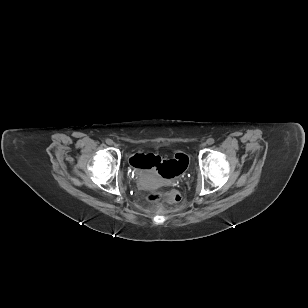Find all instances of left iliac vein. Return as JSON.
<instances>
[{"label":"left iliac vein","instance_id":"1","mask_svg":"<svg viewBox=\"0 0 308 308\" xmlns=\"http://www.w3.org/2000/svg\"><path fill=\"white\" fill-rule=\"evenodd\" d=\"M203 146H206V143H203Z\"/></svg>","mask_w":308,"mask_h":308}]
</instances>
